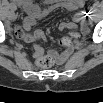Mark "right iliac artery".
I'll use <instances>...</instances> for the list:
<instances>
[{
  "label": "right iliac artery",
  "mask_w": 103,
  "mask_h": 103,
  "mask_svg": "<svg viewBox=\"0 0 103 103\" xmlns=\"http://www.w3.org/2000/svg\"><path fill=\"white\" fill-rule=\"evenodd\" d=\"M11 10L12 11L16 10V7L15 6H11Z\"/></svg>",
  "instance_id": "1"
}]
</instances>
